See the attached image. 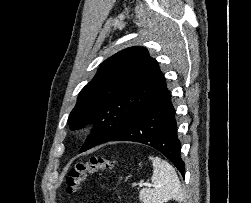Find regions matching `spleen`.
Returning <instances> with one entry per match:
<instances>
[{
    "label": "spleen",
    "instance_id": "spleen-1",
    "mask_svg": "<svg viewBox=\"0 0 251 203\" xmlns=\"http://www.w3.org/2000/svg\"><path fill=\"white\" fill-rule=\"evenodd\" d=\"M153 164V189L144 188L139 193L143 203H164L173 199L181 201L184 198L179 178L175 169L167 161L150 156Z\"/></svg>",
    "mask_w": 251,
    "mask_h": 203
}]
</instances>
